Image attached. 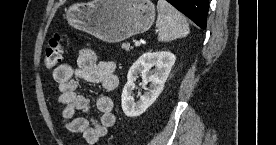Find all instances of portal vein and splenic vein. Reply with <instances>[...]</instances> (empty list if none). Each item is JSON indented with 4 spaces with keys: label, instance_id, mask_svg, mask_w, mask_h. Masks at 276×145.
<instances>
[{
    "label": "portal vein and splenic vein",
    "instance_id": "1",
    "mask_svg": "<svg viewBox=\"0 0 276 145\" xmlns=\"http://www.w3.org/2000/svg\"><path fill=\"white\" fill-rule=\"evenodd\" d=\"M141 45V42L140 41H135V46L138 47Z\"/></svg>",
    "mask_w": 276,
    "mask_h": 145
}]
</instances>
